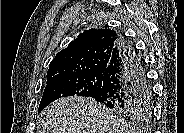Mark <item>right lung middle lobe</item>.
<instances>
[{
    "instance_id": "obj_1",
    "label": "right lung middle lobe",
    "mask_w": 184,
    "mask_h": 133,
    "mask_svg": "<svg viewBox=\"0 0 184 133\" xmlns=\"http://www.w3.org/2000/svg\"><path fill=\"white\" fill-rule=\"evenodd\" d=\"M103 73L77 77H65L47 83L38 113L51 102L65 96H84L94 98L102 86ZM151 93L142 101L131 105H104L108 112L129 117H146L152 108Z\"/></svg>"
}]
</instances>
